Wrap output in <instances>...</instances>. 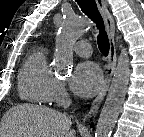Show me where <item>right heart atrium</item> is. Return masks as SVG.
Masks as SVG:
<instances>
[{"instance_id":"d8ad5b80","label":"right heart atrium","mask_w":144,"mask_h":137,"mask_svg":"<svg viewBox=\"0 0 144 137\" xmlns=\"http://www.w3.org/2000/svg\"><path fill=\"white\" fill-rule=\"evenodd\" d=\"M53 100L59 105H67L70 101L69 94L62 80H57Z\"/></svg>"}]
</instances>
